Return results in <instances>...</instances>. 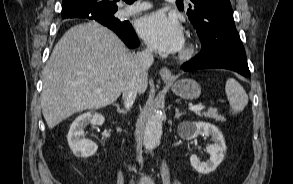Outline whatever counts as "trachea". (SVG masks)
Segmentation results:
<instances>
[{
    "label": "trachea",
    "instance_id": "3493384b",
    "mask_svg": "<svg viewBox=\"0 0 293 184\" xmlns=\"http://www.w3.org/2000/svg\"><path fill=\"white\" fill-rule=\"evenodd\" d=\"M126 3L131 4L134 3L135 0H124Z\"/></svg>",
    "mask_w": 293,
    "mask_h": 184
}]
</instances>
